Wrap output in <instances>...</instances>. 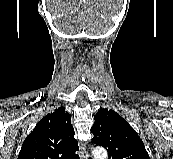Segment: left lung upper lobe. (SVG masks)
Returning a JSON list of instances; mask_svg holds the SVG:
<instances>
[{"instance_id": "obj_1", "label": "left lung upper lobe", "mask_w": 173, "mask_h": 159, "mask_svg": "<svg viewBox=\"0 0 173 159\" xmlns=\"http://www.w3.org/2000/svg\"><path fill=\"white\" fill-rule=\"evenodd\" d=\"M94 119L92 142L105 147L109 159H150L136 131L118 113L101 109Z\"/></svg>"}]
</instances>
